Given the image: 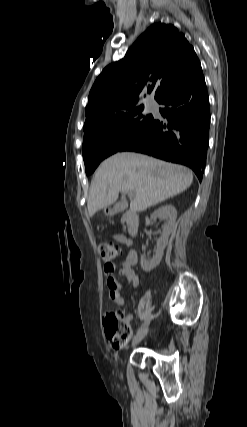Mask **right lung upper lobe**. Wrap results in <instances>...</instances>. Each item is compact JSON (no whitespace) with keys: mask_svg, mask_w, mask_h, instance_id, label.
Returning a JSON list of instances; mask_svg holds the SVG:
<instances>
[{"mask_svg":"<svg viewBox=\"0 0 247 427\" xmlns=\"http://www.w3.org/2000/svg\"><path fill=\"white\" fill-rule=\"evenodd\" d=\"M199 71V59L182 33L170 24L151 25L123 59L108 65L97 77L89 94L84 129L136 106L142 91L154 90L159 101Z\"/></svg>","mask_w":247,"mask_h":427,"instance_id":"cb5924a9","label":"right lung upper lobe"}]
</instances>
